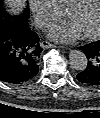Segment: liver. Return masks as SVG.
I'll return each mask as SVG.
<instances>
[{"mask_svg": "<svg viewBox=\"0 0 100 118\" xmlns=\"http://www.w3.org/2000/svg\"><path fill=\"white\" fill-rule=\"evenodd\" d=\"M5 5L13 13H19L26 5V0H5Z\"/></svg>", "mask_w": 100, "mask_h": 118, "instance_id": "liver-1", "label": "liver"}]
</instances>
